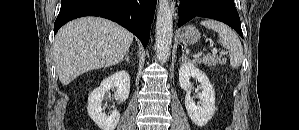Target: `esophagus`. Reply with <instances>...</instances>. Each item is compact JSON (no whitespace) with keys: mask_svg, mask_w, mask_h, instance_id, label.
I'll use <instances>...</instances> for the list:
<instances>
[{"mask_svg":"<svg viewBox=\"0 0 299 130\" xmlns=\"http://www.w3.org/2000/svg\"><path fill=\"white\" fill-rule=\"evenodd\" d=\"M170 5L172 8V12H173V17L174 19L178 18V6H179V1L176 0H170Z\"/></svg>","mask_w":299,"mask_h":130,"instance_id":"1","label":"esophagus"}]
</instances>
